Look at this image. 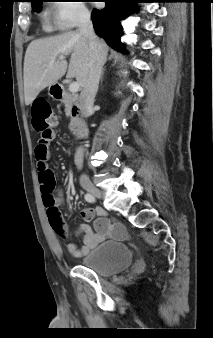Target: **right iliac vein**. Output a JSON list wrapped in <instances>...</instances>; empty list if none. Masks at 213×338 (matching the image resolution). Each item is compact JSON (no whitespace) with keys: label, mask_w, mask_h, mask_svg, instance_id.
Returning a JSON list of instances; mask_svg holds the SVG:
<instances>
[{"label":"right iliac vein","mask_w":213,"mask_h":338,"mask_svg":"<svg viewBox=\"0 0 213 338\" xmlns=\"http://www.w3.org/2000/svg\"><path fill=\"white\" fill-rule=\"evenodd\" d=\"M84 189H85L88 193L92 194L93 196H95V197H97V198H101L102 195H103L102 192H101L98 188H96L94 185H92V184H90V183L85 184V185H84Z\"/></svg>","instance_id":"1"}]
</instances>
